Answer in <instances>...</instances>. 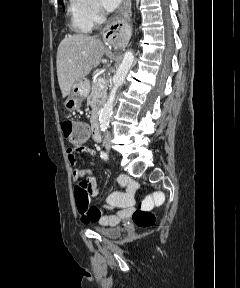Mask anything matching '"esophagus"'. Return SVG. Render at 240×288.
Masks as SVG:
<instances>
[{"label": "esophagus", "instance_id": "1", "mask_svg": "<svg viewBox=\"0 0 240 288\" xmlns=\"http://www.w3.org/2000/svg\"><path fill=\"white\" fill-rule=\"evenodd\" d=\"M131 0H123L117 14L103 29L104 40L113 46L124 45L127 41L128 22L130 20Z\"/></svg>", "mask_w": 240, "mask_h": 288}]
</instances>
